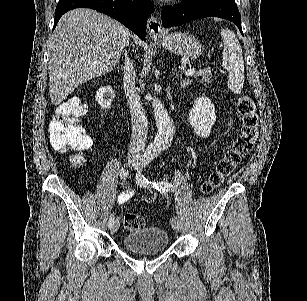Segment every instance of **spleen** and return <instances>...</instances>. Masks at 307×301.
<instances>
[{
	"instance_id": "1",
	"label": "spleen",
	"mask_w": 307,
	"mask_h": 301,
	"mask_svg": "<svg viewBox=\"0 0 307 301\" xmlns=\"http://www.w3.org/2000/svg\"><path fill=\"white\" fill-rule=\"evenodd\" d=\"M220 34L224 44L222 66L229 72L227 84L234 94H240L245 76L241 44L229 28H221Z\"/></svg>"
}]
</instances>
